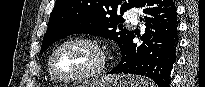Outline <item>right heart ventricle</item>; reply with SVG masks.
<instances>
[{
    "mask_svg": "<svg viewBox=\"0 0 205 87\" xmlns=\"http://www.w3.org/2000/svg\"><path fill=\"white\" fill-rule=\"evenodd\" d=\"M50 76H51V75H50ZM51 79H52V81H54V82L56 81V80H55V79H53L52 77H51Z\"/></svg>",
    "mask_w": 205,
    "mask_h": 87,
    "instance_id": "obj_1",
    "label": "right heart ventricle"
}]
</instances>
